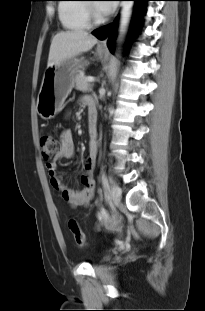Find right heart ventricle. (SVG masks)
Masks as SVG:
<instances>
[{
  "mask_svg": "<svg viewBox=\"0 0 205 311\" xmlns=\"http://www.w3.org/2000/svg\"><path fill=\"white\" fill-rule=\"evenodd\" d=\"M79 2L83 0H64ZM59 19L63 27L71 31L84 30L89 27L87 5L81 3H62L58 6Z\"/></svg>",
  "mask_w": 205,
  "mask_h": 311,
  "instance_id": "obj_1",
  "label": "right heart ventricle"
}]
</instances>
